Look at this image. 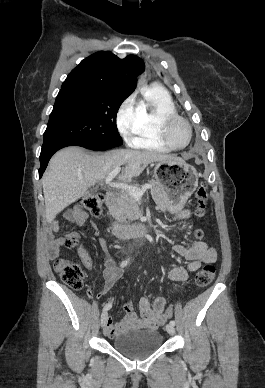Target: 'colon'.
<instances>
[{
    "mask_svg": "<svg viewBox=\"0 0 265 388\" xmlns=\"http://www.w3.org/2000/svg\"><path fill=\"white\" fill-rule=\"evenodd\" d=\"M207 192L203 184H200L195 192V200L197 204L196 214L203 216L207 207ZM104 203V195L97 193L88 197H85L81 201V207L92 216H98L101 214ZM201 233L197 232L196 236L201 237ZM54 269L62 279V281L71 289L79 290L83 287V272L80 266L73 261L58 259L54 262ZM215 266L212 263L204 265L195 276V283L199 287H205L209 285L215 277ZM165 316L170 318L173 316L172 306H167L165 310Z\"/></svg>",
    "mask_w": 265,
    "mask_h": 388,
    "instance_id": "1",
    "label": "colon"
}]
</instances>
